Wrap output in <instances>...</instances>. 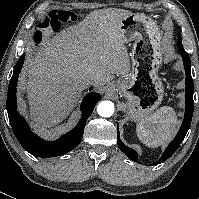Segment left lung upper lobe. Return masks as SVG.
I'll return each mask as SVG.
<instances>
[{
  "mask_svg": "<svg viewBox=\"0 0 199 199\" xmlns=\"http://www.w3.org/2000/svg\"><path fill=\"white\" fill-rule=\"evenodd\" d=\"M177 44L183 46L182 45V38H181V36L178 37V43Z\"/></svg>",
  "mask_w": 199,
  "mask_h": 199,
  "instance_id": "1",
  "label": "left lung upper lobe"
}]
</instances>
